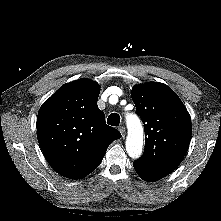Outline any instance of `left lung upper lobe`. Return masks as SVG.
Wrapping results in <instances>:
<instances>
[{
    "label": "left lung upper lobe",
    "mask_w": 221,
    "mask_h": 221,
    "mask_svg": "<svg viewBox=\"0 0 221 221\" xmlns=\"http://www.w3.org/2000/svg\"><path fill=\"white\" fill-rule=\"evenodd\" d=\"M131 96L145 129L144 154L136 161L167 174L173 172L191 139V119L186 107L162 83L135 86Z\"/></svg>",
    "instance_id": "left-lung-upper-lobe-1"
}]
</instances>
